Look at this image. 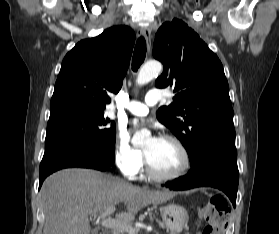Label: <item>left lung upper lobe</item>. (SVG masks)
Instances as JSON below:
<instances>
[{
	"instance_id": "1",
	"label": "left lung upper lobe",
	"mask_w": 279,
	"mask_h": 234,
	"mask_svg": "<svg viewBox=\"0 0 279 234\" xmlns=\"http://www.w3.org/2000/svg\"><path fill=\"white\" fill-rule=\"evenodd\" d=\"M153 56L164 65L156 87L173 86V103L156 116L187 150L191 166L213 145L235 144L229 85L219 58L179 19L157 31Z\"/></svg>"
}]
</instances>
